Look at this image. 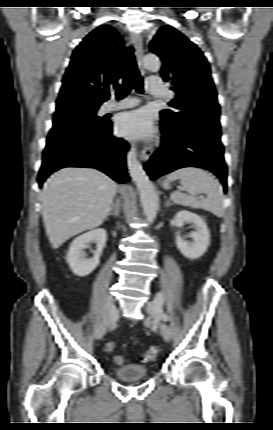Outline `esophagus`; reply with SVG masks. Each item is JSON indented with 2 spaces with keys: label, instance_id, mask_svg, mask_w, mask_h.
Listing matches in <instances>:
<instances>
[{
  "label": "esophagus",
  "instance_id": "1",
  "mask_svg": "<svg viewBox=\"0 0 273 430\" xmlns=\"http://www.w3.org/2000/svg\"><path fill=\"white\" fill-rule=\"evenodd\" d=\"M131 41L133 42L135 49H136V57L138 60V64H139V69L142 75L146 74V70L144 69L143 65H142V59H143V40L141 35L134 33V32H130L129 34ZM153 153V148L151 144H146L144 145L141 154H140V159L143 162H148L151 155Z\"/></svg>",
  "mask_w": 273,
  "mask_h": 430
}]
</instances>
